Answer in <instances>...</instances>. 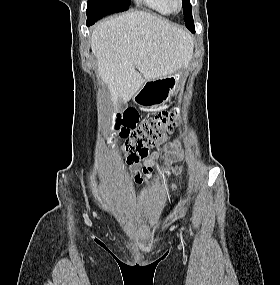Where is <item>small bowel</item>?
Instances as JSON below:
<instances>
[{"instance_id": "1", "label": "small bowel", "mask_w": 280, "mask_h": 285, "mask_svg": "<svg viewBox=\"0 0 280 285\" xmlns=\"http://www.w3.org/2000/svg\"><path fill=\"white\" fill-rule=\"evenodd\" d=\"M132 165H135V163H130ZM156 164V160L153 158H144L142 162V168L141 171H136L134 175V181L138 184L143 183L145 180H148L153 172V167ZM181 170L180 167H174V172H179Z\"/></svg>"}]
</instances>
